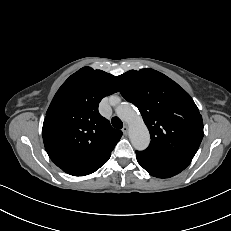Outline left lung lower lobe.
Returning a JSON list of instances; mask_svg holds the SVG:
<instances>
[{
    "label": "left lung lower lobe",
    "instance_id": "obj_1",
    "mask_svg": "<svg viewBox=\"0 0 231 231\" xmlns=\"http://www.w3.org/2000/svg\"><path fill=\"white\" fill-rule=\"evenodd\" d=\"M138 163L149 172L150 175L158 178H170L183 171L187 166L161 162L143 155L136 151Z\"/></svg>",
    "mask_w": 231,
    "mask_h": 231
}]
</instances>
